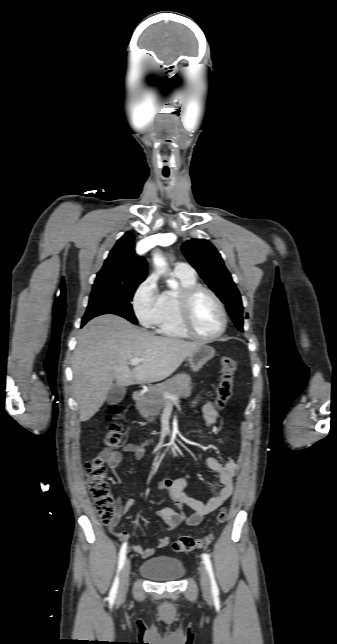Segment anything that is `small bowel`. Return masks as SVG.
<instances>
[{"label": "small bowel", "instance_id": "c3829d8e", "mask_svg": "<svg viewBox=\"0 0 337 644\" xmlns=\"http://www.w3.org/2000/svg\"><path fill=\"white\" fill-rule=\"evenodd\" d=\"M199 400H194L193 405L196 406ZM202 412L206 426H213L218 419V413L213 406L212 402H206L202 406ZM123 453H131L133 456L140 460L146 454V448L136 443H127L123 446L122 450H112L105 448L100 452V459L111 469L115 470L123 459ZM208 468L218 476L221 488L219 494L211 497L207 502H202L198 499L190 497L184 491L190 474L186 473L184 476L174 480L164 479L159 483L161 489L169 491L173 501L180 508V511H175L170 507H162L154 514L159 516L167 525L168 531H173L181 524L189 526L198 525L204 517L218 509L228 498L233 494V477L237 471V463L232 460L220 462L213 457L206 460ZM134 501L127 498L126 501L118 508L116 517L112 523L109 524L110 533L120 541L129 539V533L125 530L118 529L120 518L132 509ZM187 506L193 510L191 515H186L183 508ZM169 536L160 538L156 546L144 548L141 545H134L132 548L135 552L139 553L143 558L153 556L158 548L166 547L170 543ZM126 543V542H125Z\"/></svg>", "mask_w": 337, "mask_h": 644}]
</instances>
